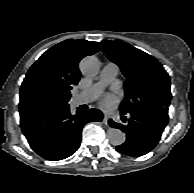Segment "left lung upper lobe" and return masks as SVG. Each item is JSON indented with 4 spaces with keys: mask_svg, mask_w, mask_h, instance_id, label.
I'll list each match as a JSON object with an SVG mask.
<instances>
[{
    "mask_svg": "<svg viewBox=\"0 0 194 193\" xmlns=\"http://www.w3.org/2000/svg\"><path fill=\"white\" fill-rule=\"evenodd\" d=\"M102 49L127 78L121 110H168L169 75L154 57L121 41H103Z\"/></svg>",
    "mask_w": 194,
    "mask_h": 193,
    "instance_id": "5c2ea615",
    "label": "left lung upper lobe"
}]
</instances>
